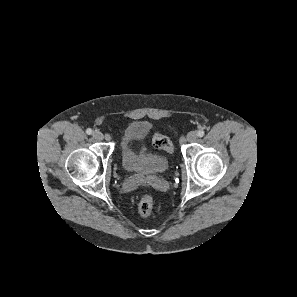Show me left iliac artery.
<instances>
[{
	"label": "left iliac artery",
	"mask_w": 297,
	"mask_h": 297,
	"mask_svg": "<svg viewBox=\"0 0 297 297\" xmlns=\"http://www.w3.org/2000/svg\"><path fill=\"white\" fill-rule=\"evenodd\" d=\"M204 131L203 130H199L198 132H197V136L198 137H203L204 136Z\"/></svg>",
	"instance_id": "1"
}]
</instances>
